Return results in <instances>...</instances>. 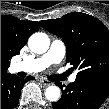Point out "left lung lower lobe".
Returning a JSON list of instances; mask_svg holds the SVG:
<instances>
[{
    "label": "left lung lower lobe",
    "instance_id": "1",
    "mask_svg": "<svg viewBox=\"0 0 109 109\" xmlns=\"http://www.w3.org/2000/svg\"><path fill=\"white\" fill-rule=\"evenodd\" d=\"M62 88V97L52 103L53 109H98L109 95V84L93 78H76Z\"/></svg>",
    "mask_w": 109,
    "mask_h": 109
}]
</instances>
